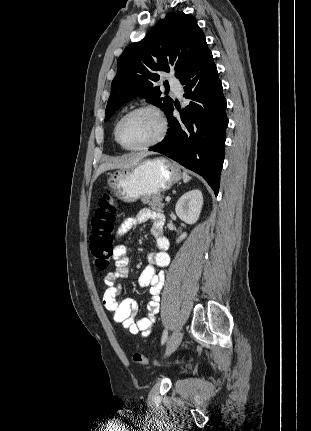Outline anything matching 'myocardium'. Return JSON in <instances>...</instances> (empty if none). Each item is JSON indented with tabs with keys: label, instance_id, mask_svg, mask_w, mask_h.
<instances>
[{
	"label": "myocardium",
	"instance_id": "myocardium-1",
	"mask_svg": "<svg viewBox=\"0 0 311 431\" xmlns=\"http://www.w3.org/2000/svg\"><path fill=\"white\" fill-rule=\"evenodd\" d=\"M139 111H150V112L154 113L160 120L161 130H160L159 135L154 140H152L151 142L144 144V145H141V146L130 147V146L125 145L124 142L122 141L121 136H120V132H119V128H120L122 121L125 118H127L128 116H130L136 112H139ZM167 131H168V121H167L166 116L158 107H156L152 104H143V105H139V106H136L134 108L127 110L118 118V120L116 121L115 126H114V135H115L117 142L119 143V145L123 149L129 150V151L146 150V149H149L151 147L156 146L157 144H159L164 139V137L167 134Z\"/></svg>",
	"mask_w": 311,
	"mask_h": 431
}]
</instances>
